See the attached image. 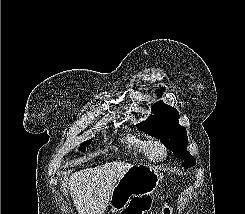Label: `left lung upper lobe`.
Listing matches in <instances>:
<instances>
[{
  "label": "left lung upper lobe",
  "mask_w": 245,
  "mask_h": 214,
  "mask_svg": "<svg viewBox=\"0 0 245 214\" xmlns=\"http://www.w3.org/2000/svg\"><path fill=\"white\" fill-rule=\"evenodd\" d=\"M158 91L161 92L164 89L161 88ZM152 111L154 112L152 117H148L147 120L136 126L147 134L160 139V142L169 148L176 157L184 160L182 164L184 168L194 166L196 160L186 149L188 137L186 129L179 125L178 111L161 101L152 105Z\"/></svg>",
  "instance_id": "5c2ea615"
}]
</instances>
